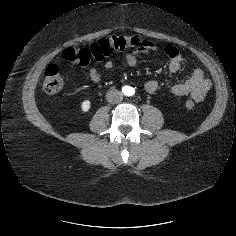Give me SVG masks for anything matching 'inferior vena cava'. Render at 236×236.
Returning <instances> with one entry per match:
<instances>
[{"label":"inferior vena cava","instance_id":"602c4592","mask_svg":"<svg viewBox=\"0 0 236 236\" xmlns=\"http://www.w3.org/2000/svg\"><path fill=\"white\" fill-rule=\"evenodd\" d=\"M106 100L112 104L119 103L123 100V94L115 89L110 90L106 94Z\"/></svg>","mask_w":236,"mask_h":236}]
</instances>
